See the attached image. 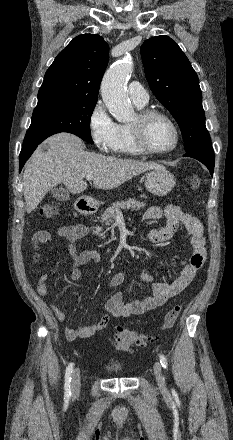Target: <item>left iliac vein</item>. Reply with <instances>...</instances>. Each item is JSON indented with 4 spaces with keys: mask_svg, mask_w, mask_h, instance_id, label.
I'll use <instances>...</instances> for the list:
<instances>
[{
    "mask_svg": "<svg viewBox=\"0 0 233 440\" xmlns=\"http://www.w3.org/2000/svg\"><path fill=\"white\" fill-rule=\"evenodd\" d=\"M153 370H154V375H155V378H156V381H157V384H158L160 390L162 392H165L167 388H166L165 379H164L163 374H162L161 364L156 361L154 363Z\"/></svg>",
    "mask_w": 233,
    "mask_h": 440,
    "instance_id": "1",
    "label": "left iliac vein"
}]
</instances>
